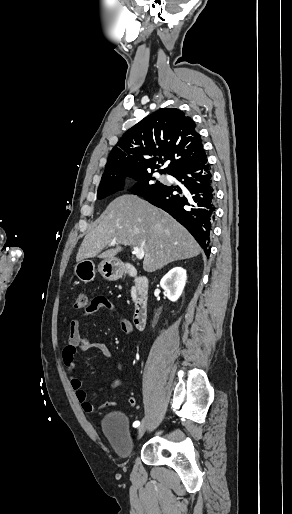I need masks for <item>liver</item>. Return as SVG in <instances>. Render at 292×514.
<instances>
[{"mask_svg":"<svg viewBox=\"0 0 292 514\" xmlns=\"http://www.w3.org/2000/svg\"><path fill=\"white\" fill-rule=\"evenodd\" d=\"M99 226L88 232L76 256L114 258L123 248H144L143 270L155 272L175 260L194 258L201 252L193 236L166 212L154 208L138 196H119L103 212ZM116 240V248L102 252Z\"/></svg>","mask_w":292,"mask_h":514,"instance_id":"1","label":"liver"}]
</instances>
